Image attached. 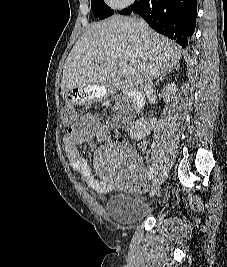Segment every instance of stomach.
Listing matches in <instances>:
<instances>
[{"label": "stomach", "mask_w": 227, "mask_h": 267, "mask_svg": "<svg viewBox=\"0 0 227 267\" xmlns=\"http://www.w3.org/2000/svg\"><path fill=\"white\" fill-rule=\"evenodd\" d=\"M83 88L75 87L72 91H66V97L62 99V104H83L108 94L105 85H86Z\"/></svg>", "instance_id": "obj_1"}]
</instances>
